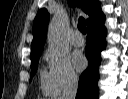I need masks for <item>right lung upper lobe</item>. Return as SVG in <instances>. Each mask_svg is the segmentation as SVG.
Masks as SVG:
<instances>
[{"mask_svg": "<svg viewBox=\"0 0 128 99\" xmlns=\"http://www.w3.org/2000/svg\"><path fill=\"white\" fill-rule=\"evenodd\" d=\"M70 6L79 5L89 15L87 24L101 13V5L98 0H68ZM47 9L42 8L36 15L33 23V41L31 45V58L41 55L46 41L47 27L49 22Z\"/></svg>", "mask_w": 128, "mask_h": 99, "instance_id": "1", "label": "right lung upper lobe"}]
</instances>
